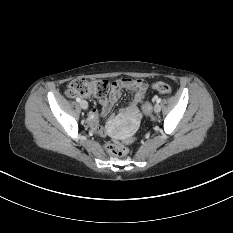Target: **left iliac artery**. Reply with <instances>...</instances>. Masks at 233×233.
I'll return each instance as SVG.
<instances>
[{
  "label": "left iliac artery",
  "mask_w": 233,
  "mask_h": 233,
  "mask_svg": "<svg viewBox=\"0 0 233 233\" xmlns=\"http://www.w3.org/2000/svg\"><path fill=\"white\" fill-rule=\"evenodd\" d=\"M156 102H157V103H160V102H161V99H160V98H158V99L156 100Z\"/></svg>",
  "instance_id": "44dca946"
}]
</instances>
